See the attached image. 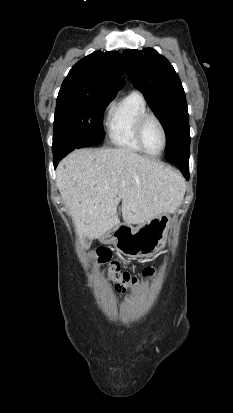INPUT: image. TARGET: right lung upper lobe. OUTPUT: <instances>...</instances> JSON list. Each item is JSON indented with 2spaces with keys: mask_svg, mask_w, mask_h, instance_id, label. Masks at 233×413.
Returning a JSON list of instances; mask_svg holds the SVG:
<instances>
[{
  "mask_svg": "<svg viewBox=\"0 0 233 413\" xmlns=\"http://www.w3.org/2000/svg\"><path fill=\"white\" fill-rule=\"evenodd\" d=\"M123 62L116 51H96L78 61L59 92H79L114 98L124 80Z\"/></svg>",
  "mask_w": 233,
  "mask_h": 413,
  "instance_id": "1",
  "label": "right lung upper lobe"
}]
</instances>
